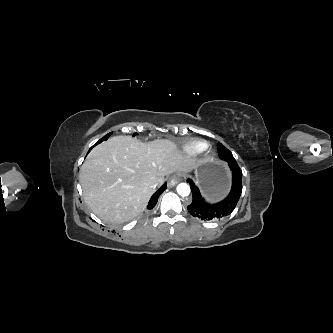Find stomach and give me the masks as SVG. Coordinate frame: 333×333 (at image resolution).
I'll return each instance as SVG.
<instances>
[{
	"label": "stomach",
	"instance_id": "stomach-1",
	"mask_svg": "<svg viewBox=\"0 0 333 333\" xmlns=\"http://www.w3.org/2000/svg\"><path fill=\"white\" fill-rule=\"evenodd\" d=\"M197 184L210 201L222 198L229 189L230 174L219 160H211L196 167Z\"/></svg>",
	"mask_w": 333,
	"mask_h": 333
}]
</instances>
